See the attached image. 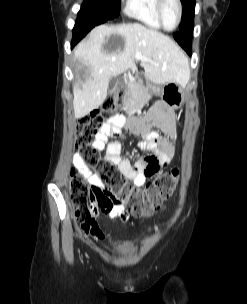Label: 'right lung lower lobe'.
<instances>
[{
	"label": "right lung lower lobe",
	"mask_w": 247,
	"mask_h": 304,
	"mask_svg": "<svg viewBox=\"0 0 247 304\" xmlns=\"http://www.w3.org/2000/svg\"><path fill=\"white\" fill-rule=\"evenodd\" d=\"M108 20L106 19H94V18H77L74 29H73V39L71 42V47L80 41L94 26L102 24Z\"/></svg>",
	"instance_id": "right-lung-lower-lobe-1"
}]
</instances>
